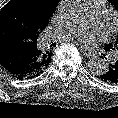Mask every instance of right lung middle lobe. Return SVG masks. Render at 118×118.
<instances>
[{"label": "right lung middle lobe", "instance_id": "right-lung-middle-lobe-1", "mask_svg": "<svg viewBox=\"0 0 118 118\" xmlns=\"http://www.w3.org/2000/svg\"><path fill=\"white\" fill-rule=\"evenodd\" d=\"M0 21L7 24L19 38L29 37L40 29L32 0H11L0 11Z\"/></svg>", "mask_w": 118, "mask_h": 118}]
</instances>
